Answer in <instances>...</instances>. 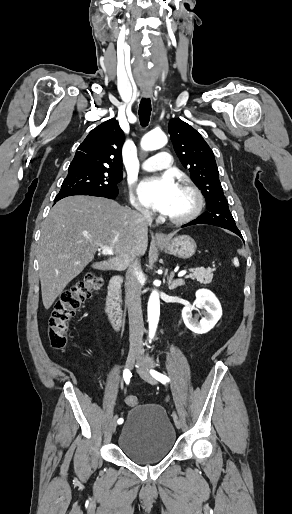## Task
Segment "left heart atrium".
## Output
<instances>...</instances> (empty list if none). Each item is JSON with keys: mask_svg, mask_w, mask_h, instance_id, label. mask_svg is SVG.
<instances>
[{"mask_svg": "<svg viewBox=\"0 0 292 514\" xmlns=\"http://www.w3.org/2000/svg\"><path fill=\"white\" fill-rule=\"evenodd\" d=\"M179 185L170 174L143 181L139 194L145 205L155 211L168 213L176 199Z\"/></svg>", "mask_w": 292, "mask_h": 514, "instance_id": "39dd6f15", "label": "left heart atrium"}]
</instances>
